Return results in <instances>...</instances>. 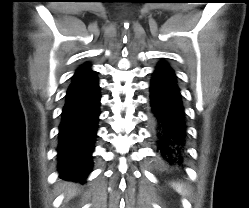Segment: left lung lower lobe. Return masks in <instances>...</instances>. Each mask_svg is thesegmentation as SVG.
<instances>
[{
    "label": "left lung lower lobe",
    "mask_w": 249,
    "mask_h": 208,
    "mask_svg": "<svg viewBox=\"0 0 249 208\" xmlns=\"http://www.w3.org/2000/svg\"><path fill=\"white\" fill-rule=\"evenodd\" d=\"M150 124L157 152L168 170L182 169L186 150V122L176 75L162 61L150 86Z\"/></svg>",
    "instance_id": "1"
}]
</instances>
